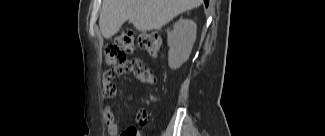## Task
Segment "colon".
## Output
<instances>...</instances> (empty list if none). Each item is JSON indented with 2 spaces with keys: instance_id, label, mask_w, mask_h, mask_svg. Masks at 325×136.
Instances as JSON below:
<instances>
[{
  "instance_id": "1",
  "label": "colon",
  "mask_w": 325,
  "mask_h": 136,
  "mask_svg": "<svg viewBox=\"0 0 325 136\" xmlns=\"http://www.w3.org/2000/svg\"><path fill=\"white\" fill-rule=\"evenodd\" d=\"M136 43L151 57H157L162 47V37L157 32L136 34L132 30H125L110 42L104 51V61L107 66L122 64L126 56L135 50ZM121 136H141L138 129L128 127Z\"/></svg>"
}]
</instances>
